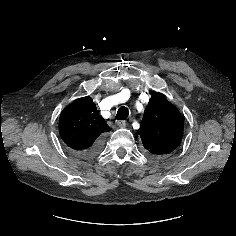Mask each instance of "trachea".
<instances>
[{
	"instance_id": "trachea-1",
	"label": "trachea",
	"mask_w": 236,
	"mask_h": 236,
	"mask_svg": "<svg viewBox=\"0 0 236 236\" xmlns=\"http://www.w3.org/2000/svg\"><path fill=\"white\" fill-rule=\"evenodd\" d=\"M129 115V111L126 107H120L116 114L117 120H126Z\"/></svg>"
}]
</instances>
